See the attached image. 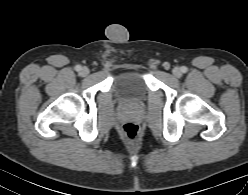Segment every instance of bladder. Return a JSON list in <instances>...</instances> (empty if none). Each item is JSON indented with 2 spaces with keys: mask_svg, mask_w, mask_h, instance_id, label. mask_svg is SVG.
<instances>
[{
  "mask_svg": "<svg viewBox=\"0 0 248 195\" xmlns=\"http://www.w3.org/2000/svg\"><path fill=\"white\" fill-rule=\"evenodd\" d=\"M115 86L119 96L129 101L142 99L147 94V81L139 70L124 71L115 80Z\"/></svg>",
  "mask_w": 248,
  "mask_h": 195,
  "instance_id": "1",
  "label": "bladder"
}]
</instances>
